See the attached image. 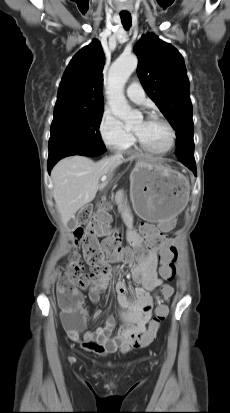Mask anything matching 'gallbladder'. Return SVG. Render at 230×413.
I'll return each mask as SVG.
<instances>
[{"label": "gallbladder", "mask_w": 230, "mask_h": 413, "mask_svg": "<svg viewBox=\"0 0 230 413\" xmlns=\"http://www.w3.org/2000/svg\"><path fill=\"white\" fill-rule=\"evenodd\" d=\"M76 226H77V222H75V221H69V223H68V227L70 228V229H75L76 228Z\"/></svg>", "instance_id": "obj_1"}]
</instances>
